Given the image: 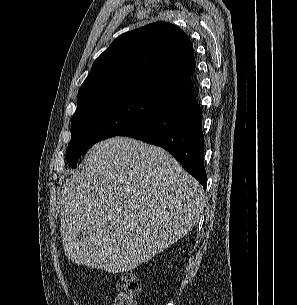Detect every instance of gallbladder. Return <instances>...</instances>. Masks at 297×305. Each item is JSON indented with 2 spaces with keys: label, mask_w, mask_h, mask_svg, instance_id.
Returning <instances> with one entry per match:
<instances>
[{
  "label": "gallbladder",
  "mask_w": 297,
  "mask_h": 305,
  "mask_svg": "<svg viewBox=\"0 0 297 305\" xmlns=\"http://www.w3.org/2000/svg\"><path fill=\"white\" fill-rule=\"evenodd\" d=\"M88 237H89V233L87 231H82L79 234H77L76 241L78 243H84L87 241Z\"/></svg>",
  "instance_id": "obj_1"
}]
</instances>
